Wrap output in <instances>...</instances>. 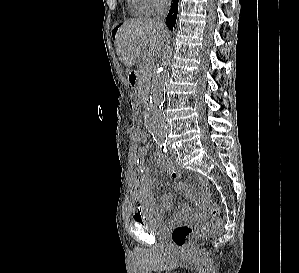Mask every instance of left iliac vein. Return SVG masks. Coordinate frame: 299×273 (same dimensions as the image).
I'll return each instance as SVG.
<instances>
[{
    "label": "left iliac vein",
    "mask_w": 299,
    "mask_h": 273,
    "mask_svg": "<svg viewBox=\"0 0 299 273\" xmlns=\"http://www.w3.org/2000/svg\"><path fill=\"white\" fill-rule=\"evenodd\" d=\"M170 152H171L172 154H175V151H174V150H172V149H170Z\"/></svg>",
    "instance_id": "4c4485c4"
}]
</instances>
